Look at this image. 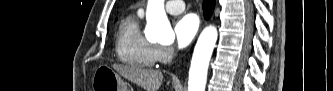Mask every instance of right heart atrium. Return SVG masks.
I'll return each instance as SVG.
<instances>
[{
	"label": "right heart atrium",
	"instance_id": "obj_1",
	"mask_svg": "<svg viewBox=\"0 0 333 91\" xmlns=\"http://www.w3.org/2000/svg\"><path fill=\"white\" fill-rule=\"evenodd\" d=\"M174 49L171 46L160 45L156 47V59L158 62L167 63L174 57Z\"/></svg>",
	"mask_w": 333,
	"mask_h": 91
}]
</instances>
